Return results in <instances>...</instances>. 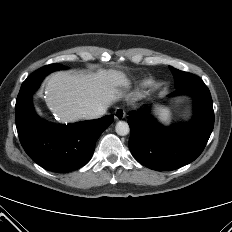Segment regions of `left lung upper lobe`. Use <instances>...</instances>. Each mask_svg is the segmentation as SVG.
Instances as JSON below:
<instances>
[{
  "label": "left lung upper lobe",
  "instance_id": "obj_1",
  "mask_svg": "<svg viewBox=\"0 0 232 232\" xmlns=\"http://www.w3.org/2000/svg\"><path fill=\"white\" fill-rule=\"evenodd\" d=\"M170 69H171L172 73L174 74L176 89L181 87V86L190 84V83L196 81L197 79H199V77H197L194 74H190L188 72L180 71V70L175 69V68H173L171 66H170Z\"/></svg>",
  "mask_w": 232,
  "mask_h": 232
}]
</instances>
